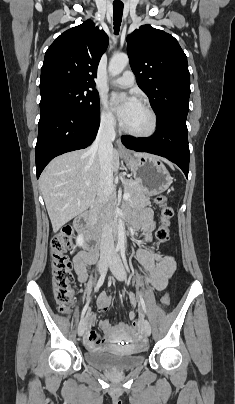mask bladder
Segmentation results:
<instances>
[{
    "label": "bladder",
    "mask_w": 235,
    "mask_h": 404,
    "mask_svg": "<svg viewBox=\"0 0 235 404\" xmlns=\"http://www.w3.org/2000/svg\"><path fill=\"white\" fill-rule=\"evenodd\" d=\"M117 347H98L85 352V361L99 369L118 372L130 371L143 363V356L135 354L136 350L127 353H119Z\"/></svg>",
    "instance_id": "31cf9c89"
}]
</instances>
